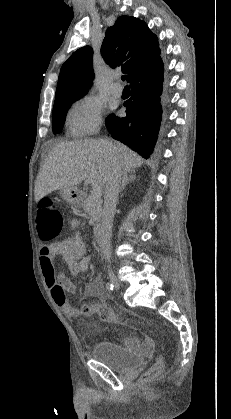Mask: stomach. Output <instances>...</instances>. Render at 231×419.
<instances>
[{
  "label": "stomach",
  "mask_w": 231,
  "mask_h": 419,
  "mask_svg": "<svg viewBox=\"0 0 231 419\" xmlns=\"http://www.w3.org/2000/svg\"><path fill=\"white\" fill-rule=\"evenodd\" d=\"M62 199L72 205H78L81 201V192L77 187H69L60 191Z\"/></svg>",
  "instance_id": "obj_1"
}]
</instances>
